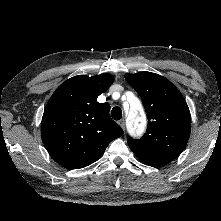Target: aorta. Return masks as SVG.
<instances>
[{
	"instance_id": "obj_1",
	"label": "aorta",
	"mask_w": 221,
	"mask_h": 221,
	"mask_svg": "<svg viewBox=\"0 0 221 221\" xmlns=\"http://www.w3.org/2000/svg\"><path fill=\"white\" fill-rule=\"evenodd\" d=\"M131 106H132V111H133V112H140V113H142V106H141V103H140V101L138 100V98L133 97V98L131 99ZM139 121H142V117L136 118V119H132V120H131V123H132V125H135V124L138 123ZM141 127L144 128L143 125H142ZM132 129H133V128H132Z\"/></svg>"
}]
</instances>
